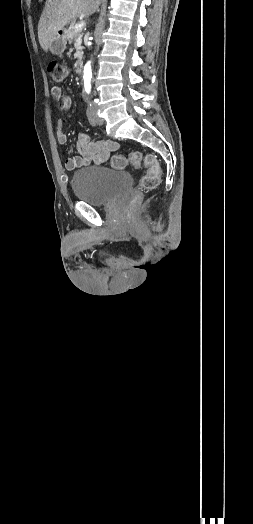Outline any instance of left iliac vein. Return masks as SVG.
<instances>
[{"mask_svg": "<svg viewBox=\"0 0 253 524\" xmlns=\"http://www.w3.org/2000/svg\"><path fill=\"white\" fill-rule=\"evenodd\" d=\"M92 109H93V112H94V114H95V118H96V122H97V124H98V125H102V124H103V119L100 118V117L98 116V114H97V108H96L95 106H93Z\"/></svg>", "mask_w": 253, "mask_h": 524, "instance_id": "obj_1", "label": "left iliac vein"}]
</instances>
